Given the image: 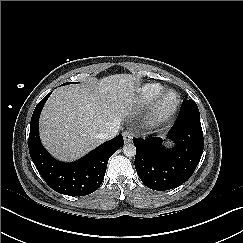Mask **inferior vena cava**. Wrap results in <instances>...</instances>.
<instances>
[{"instance_id":"602c4592","label":"inferior vena cava","mask_w":243,"mask_h":243,"mask_svg":"<svg viewBox=\"0 0 243 243\" xmlns=\"http://www.w3.org/2000/svg\"><path fill=\"white\" fill-rule=\"evenodd\" d=\"M119 127L120 125L119 124H114L113 126H111L106 132L104 133H100L98 135V137L102 140H109V139H112L114 138L117 134H118V131H119Z\"/></svg>"}]
</instances>
